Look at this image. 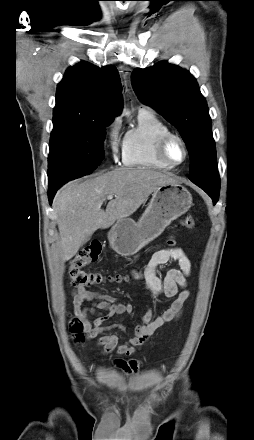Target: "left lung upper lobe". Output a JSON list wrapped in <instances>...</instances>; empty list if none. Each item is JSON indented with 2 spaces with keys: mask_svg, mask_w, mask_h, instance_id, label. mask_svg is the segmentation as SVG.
Wrapping results in <instances>:
<instances>
[{
  "mask_svg": "<svg viewBox=\"0 0 254 440\" xmlns=\"http://www.w3.org/2000/svg\"><path fill=\"white\" fill-rule=\"evenodd\" d=\"M131 81L139 99L178 129L189 152V179L204 189L213 203L217 202L220 178L211 118L194 76L180 67L160 62L134 69Z\"/></svg>",
  "mask_w": 254,
  "mask_h": 440,
  "instance_id": "left-lung-upper-lobe-1",
  "label": "left lung upper lobe"
}]
</instances>
